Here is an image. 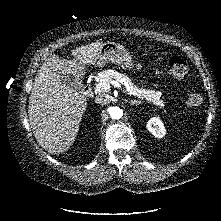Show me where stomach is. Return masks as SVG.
Wrapping results in <instances>:
<instances>
[{"label":"stomach","mask_w":221,"mask_h":221,"mask_svg":"<svg viewBox=\"0 0 221 221\" xmlns=\"http://www.w3.org/2000/svg\"><path fill=\"white\" fill-rule=\"evenodd\" d=\"M111 62L124 70L133 69V58L123 45L116 42H106L103 44L99 56L96 60L97 66H104Z\"/></svg>","instance_id":"obj_1"}]
</instances>
